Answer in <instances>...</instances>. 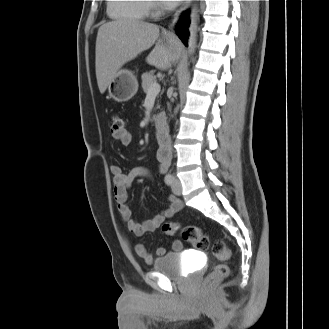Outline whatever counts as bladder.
<instances>
[{"label": "bladder", "mask_w": 329, "mask_h": 329, "mask_svg": "<svg viewBox=\"0 0 329 329\" xmlns=\"http://www.w3.org/2000/svg\"><path fill=\"white\" fill-rule=\"evenodd\" d=\"M152 269L169 279H182L187 274L183 271L181 253L167 252L156 257L152 262Z\"/></svg>", "instance_id": "1"}]
</instances>
